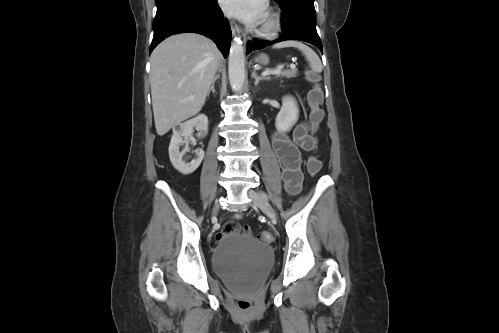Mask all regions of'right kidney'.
<instances>
[{
	"instance_id": "right-kidney-1",
	"label": "right kidney",
	"mask_w": 499,
	"mask_h": 333,
	"mask_svg": "<svg viewBox=\"0 0 499 333\" xmlns=\"http://www.w3.org/2000/svg\"><path fill=\"white\" fill-rule=\"evenodd\" d=\"M194 127L198 128L202 132L201 136L204 137L208 132L207 116L204 114L198 115L197 117L175 127L169 145L170 161L173 167L184 175L193 173L199 167L204 158V151L199 149L195 151L197 157L190 163H186L182 160L185 150L179 152V146L186 143V140L191 136Z\"/></svg>"
}]
</instances>
